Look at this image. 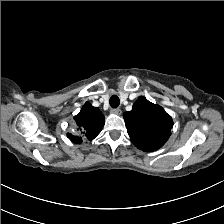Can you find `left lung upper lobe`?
Masks as SVG:
<instances>
[{"instance_id":"1","label":"left lung upper lobe","mask_w":224,"mask_h":224,"mask_svg":"<svg viewBox=\"0 0 224 224\" xmlns=\"http://www.w3.org/2000/svg\"><path fill=\"white\" fill-rule=\"evenodd\" d=\"M123 117L132 143L143 151L159 149L171 135L172 118L145 97H139L133 109Z\"/></svg>"}]
</instances>
